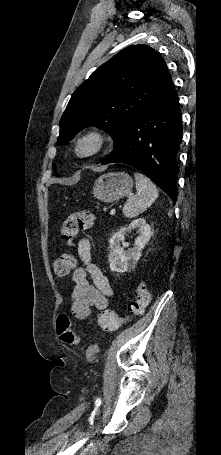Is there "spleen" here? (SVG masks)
<instances>
[{"instance_id":"3e777b00","label":"spleen","mask_w":221,"mask_h":455,"mask_svg":"<svg viewBox=\"0 0 221 455\" xmlns=\"http://www.w3.org/2000/svg\"><path fill=\"white\" fill-rule=\"evenodd\" d=\"M137 194L130 196L123 207V214L127 218H135L143 213L158 197V190L154 183L141 173H134Z\"/></svg>"}]
</instances>
